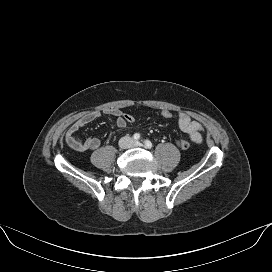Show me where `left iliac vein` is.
Returning a JSON list of instances; mask_svg holds the SVG:
<instances>
[{
	"label": "left iliac vein",
	"mask_w": 272,
	"mask_h": 272,
	"mask_svg": "<svg viewBox=\"0 0 272 272\" xmlns=\"http://www.w3.org/2000/svg\"><path fill=\"white\" fill-rule=\"evenodd\" d=\"M134 144H135L136 146H140V145H141V143L138 142V141H136Z\"/></svg>",
	"instance_id": "4c4485c4"
}]
</instances>
